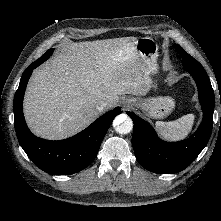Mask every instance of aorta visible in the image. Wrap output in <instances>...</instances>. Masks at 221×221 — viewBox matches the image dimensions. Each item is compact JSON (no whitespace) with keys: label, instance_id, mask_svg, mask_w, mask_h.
<instances>
[{"label":"aorta","instance_id":"obj_1","mask_svg":"<svg viewBox=\"0 0 221 221\" xmlns=\"http://www.w3.org/2000/svg\"><path fill=\"white\" fill-rule=\"evenodd\" d=\"M113 126L119 134H128L133 129V121L126 114H121L115 118Z\"/></svg>","mask_w":221,"mask_h":221}]
</instances>
